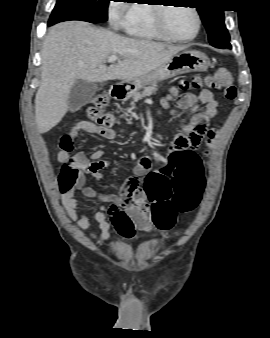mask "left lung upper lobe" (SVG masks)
Segmentation results:
<instances>
[{"mask_svg":"<svg viewBox=\"0 0 270 338\" xmlns=\"http://www.w3.org/2000/svg\"><path fill=\"white\" fill-rule=\"evenodd\" d=\"M220 0H199L197 8L208 33L212 46L217 48L230 47V36L224 22L223 10L218 8Z\"/></svg>","mask_w":270,"mask_h":338,"instance_id":"obj_1","label":"left lung upper lobe"}]
</instances>
